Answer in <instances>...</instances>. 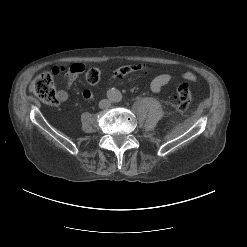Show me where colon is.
Instances as JSON below:
<instances>
[{
	"label": "colon",
	"mask_w": 247,
	"mask_h": 247,
	"mask_svg": "<svg viewBox=\"0 0 247 247\" xmlns=\"http://www.w3.org/2000/svg\"><path fill=\"white\" fill-rule=\"evenodd\" d=\"M86 81L89 85H96L101 78V71L98 68H91L86 73ZM30 90L45 104L55 106L60 102L53 76L50 73L39 74L31 83ZM174 100L177 109L185 112L192 102V93L184 82H176L174 87Z\"/></svg>",
	"instance_id": "1"
}]
</instances>
